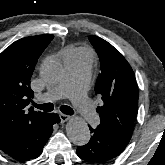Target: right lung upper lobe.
<instances>
[{"label":"right lung upper lobe","instance_id":"1","mask_svg":"<svg viewBox=\"0 0 165 165\" xmlns=\"http://www.w3.org/2000/svg\"><path fill=\"white\" fill-rule=\"evenodd\" d=\"M53 37L22 38L0 54V143L47 114L26 107L34 97L30 79L35 65Z\"/></svg>","mask_w":165,"mask_h":165}]
</instances>
